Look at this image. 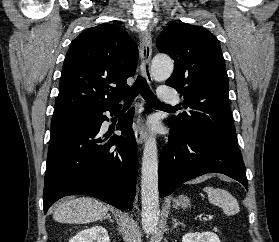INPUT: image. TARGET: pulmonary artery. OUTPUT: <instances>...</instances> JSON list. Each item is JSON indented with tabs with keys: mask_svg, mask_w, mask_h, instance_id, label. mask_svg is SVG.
<instances>
[{
	"mask_svg": "<svg viewBox=\"0 0 279 242\" xmlns=\"http://www.w3.org/2000/svg\"><path fill=\"white\" fill-rule=\"evenodd\" d=\"M158 96L161 101L168 104H177L179 102L178 94L168 85L159 87Z\"/></svg>",
	"mask_w": 279,
	"mask_h": 242,
	"instance_id": "1",
	"label": "pulmonary artery"
}]
</instances>
